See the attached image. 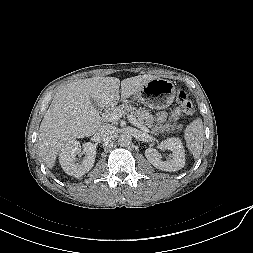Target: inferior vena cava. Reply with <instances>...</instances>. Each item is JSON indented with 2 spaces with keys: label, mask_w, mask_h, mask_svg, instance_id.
<instances>
[{
  "label": "inferior vena cava",
  "mask_w": 253,
  "mask_h": 253,
  "mask_svg": "<svg viewBox=\"0 0 253 253\" xmlns=\"http://www.w3.org/2000/svg\"><path fill=\"white\" fill-rule=\"evenodd\" d=\"M116 132V128L110 124H103L96 132V136L100 142L110 141Z\"/></svg>",
  "instance_id": "inferior-vena-cava-1"
}]
</instances>
